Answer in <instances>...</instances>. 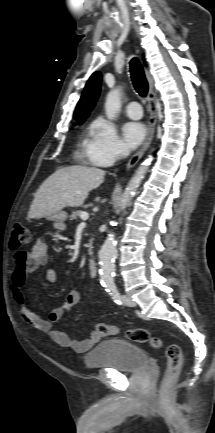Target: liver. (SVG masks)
<instances>
[{
    "label": "liver",
    "mask_w": 215,
    "mask_h": 433,
    "mask_svg": "<svg viewBox=\"0 0 215 433\" xmlns=\"http://www.w3.org/2000/svg\"><path fill=\"white\" fill-rule=\"evenodd\" d=\"M105 171L73 165L56 170L39 187L32 201L29 218H43L63 208L83 204L88 193L104 181Z\"/></svg>",
    "instance_id": "1"
}]
</instances>
